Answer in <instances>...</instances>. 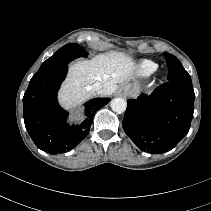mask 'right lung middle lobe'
<instances>
[{"mask_svg":"<svg viewBox=\"0 0 211 211\" xmlns=\"http://www.w3.org/2000/svg\"><path fill=\"white\" fill-rule=\"evenodd\" d=\"M86 55L87 52L78 44H67L60 48L53 56L43 62L38 71H43L61 65H67L70 61L78 57H85Z\"/></svg>","mask_w":211,"mask_h":211,"instance_id":"1","label":"right lung middle lobe"}]
</instances>
